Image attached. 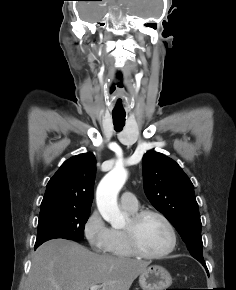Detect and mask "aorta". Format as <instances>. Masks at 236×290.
<instances>
[{
  "instance_id": "1",
  "label": "aorta",
  "mask_w": 236,
  "mask_h": 290,
  "mask_svg": "<svg viewBox=\"0 0 236 290\" xmlns=\"http://www.w3.org/2000/svg\"><path fill=\"white\" fill-rule=\"evenodd\" d=\"M127 179V172L116 167L100 181L96 191L97 207L102 217L113 228H122L126 224V215L118 207L117 196Z\"/></svg>"
}]
</instances>
